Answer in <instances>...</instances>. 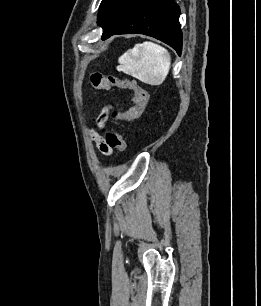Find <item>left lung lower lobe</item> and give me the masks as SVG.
I'll use <instances>...</instances> for the list:
<instances>
[{
    "label": "left lung lower lobe",
    "instance_id": "0a47b994",
    "mask_svg": "<svg viewBox=\"0 0 261 306\" xmlns=\"http://www.w3.org/2000/svg\"><path fill=\"white\" fill-rule=\"evenodd\" d=\"M179 15L180 9L173 0H133L102 40L116 34H144L165 42L181 55Z\"/></svg>",
    "mask_w": 261,
    "mask_h": 306
}]
</instances>
